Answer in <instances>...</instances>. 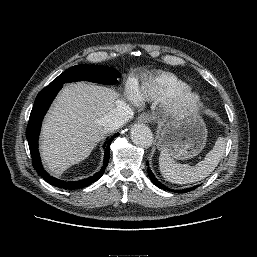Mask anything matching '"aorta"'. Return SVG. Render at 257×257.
Listing matches in <instances>:
<instances>
[{"label": "aorta", "instance_id": "762f6f07", "mask_svg": "<svg viewBox=\"0 0 257 257\" xmlns=\"http://www.w3.org/2000/svg\"><path fill=\"white\" fill-rule=\"evenodd\" d=\"M131 140L138 146L148 148L152 145L153 134L145 124H134L130 131Z\"/></svg>", "mask_w": 257, "mask_h": 257}]
</instances>
